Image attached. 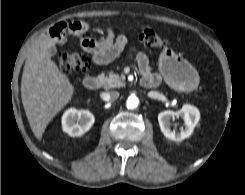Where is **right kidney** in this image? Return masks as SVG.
<instances>
[{
  "label": "right kidney",
  "instance_id": "ca27d5eb",
  "mask_svg": "<svg viewBox=\"0 0 245 195\" xmlns=\"http://www.w3.org/2000/svg\"><path fill=\"white\" fill-rule=\"evenodd\" d=\"M95 118L88 110L70 108L63 114L62 129L69 136L77 137L87 132L94 124Z\"/></svg>",
  "mask_w": 245,
  "mask_h": 195
}]
</instances>
